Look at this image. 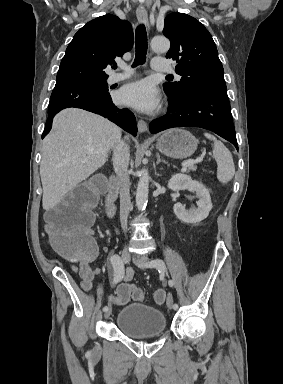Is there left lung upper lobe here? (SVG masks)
Masks as SVG:
<instances>
[{
  "label": "left lung upper lobe",
  "mask_w": 283,
  "mask_h": 384,
  "mask_svg": "<svg viewBox=\"0 0 283 384\" xmlns=\"http://www.w3.org/2000/svg\"><path fill=\"white\" fill-rule=\"evenodd\" d=\"M163 34L171 47L166 58L177 61L180 82L163 85L167 95L181 97L188 91H226L224 70L211 34L197 19L184 13L166 16Z\"/></svg>",
  "instance_id": "5c2ea615"
}]
</instances>
